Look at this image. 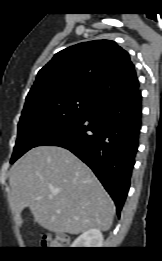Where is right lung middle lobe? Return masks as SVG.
<instances>
[{
    "label": "right lung middle lobe",
    "instance_id": "right-lung-middle-lobe-1",
    "mask_svg": "<svg viewBox=\"0 0 162 261\" xmlns=\"http://www.w3.org/2000/svg\"><path fill=\"white\" fill-rule=\"evenodd\" d=\"M97 101L77 94H61L26 100L11 163L21 157L49 132L92 111Z\"/></svg>",
    "mask_w": 162,
    "mask_h": 261
}]
</instances>
